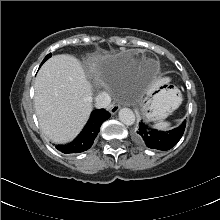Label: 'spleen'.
<instances>
[{
    "label": "spleen",
    "mask_w": 220,
    "mask_h": 220,
    "mask_svg": "<svg viewBox=\"0 0 220 220\" xmlns=\"http://www.w3.org/2000/svg\"><path fill=\"white\" fill-rule=\"evenodd\" d=\"M170 125H171L170 122L162 121V122H157L153 126L158 130H167L170 128Z\"/></svg>",
    "instance_id": "3e777b00"
}]
</instances>
